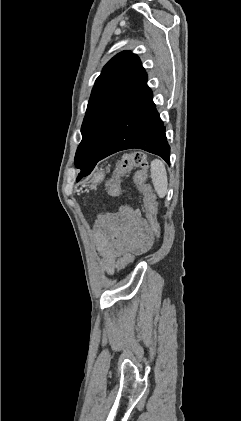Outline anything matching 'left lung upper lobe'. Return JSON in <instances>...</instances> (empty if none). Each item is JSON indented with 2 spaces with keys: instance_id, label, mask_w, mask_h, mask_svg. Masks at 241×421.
<instances>
[{
  "instance_id": "obj_1",
  "label": "left lung upper lobe",
  "mask_w": 241,
  "mask_h": 421,
  "mask_svg": "<svg viewBox=\"0 0 241 421\" xmlns=\"http://www.w3.org/2000/svg\"><path fill=\"white\" fill-rule=\"evenodd\" d=\"M144 74L139 58L130 51L117 54L104 66L83 120V138L74 159L77 168L95 162L102 154Z\"/></svg>"
}]
</instances>
